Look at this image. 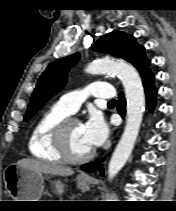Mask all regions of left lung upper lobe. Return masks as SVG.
<instances>
[{
    "label": "left lung upper lobe",
    "mask_w": 176,
    "mask_h": 211,
    "mask_svg": "<svg viewBox=\"0 0 176 211\" xmlns=\"http://www.w3.org/2000/svg\"><path fill=\"white\" fill-rule=\"evenodd\" d=\"M95 49L132 63L140 72L142 79L154 74L149 69L150 62L144 54V47L136 43L133 36L124 32L113 31L96 44ZM80 54L64 57L50 64L42 73L32 94L24 121H28L52 96L58 93L66 84L67 74L71 67L79 60Z\"/></svg>",
    "instance_id": "1"
}]
</instances>
